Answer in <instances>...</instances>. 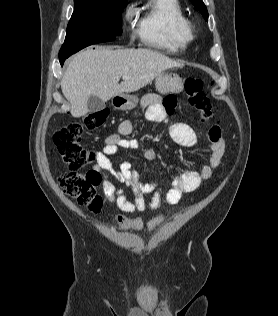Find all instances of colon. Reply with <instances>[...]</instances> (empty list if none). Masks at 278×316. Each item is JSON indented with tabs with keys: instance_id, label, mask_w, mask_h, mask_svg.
<instances>
[{
	"instance_id": "obj_1",
	"label": "colon",
	"mask_w": 278,
	"mask_h": 316,
	"mask_svg": "<svg viewBox=\"0 0 278 316\" xmlns=\"http://www.w3.org/2000/svg\"><path fill=\"white\" fill-rule=\"evenodd\" d=\"M203 88L204 83L200 79L188 78L185 82L189 104L199 111L202 120H207L211 116L212 106ZM106 118L105 111L88 114L81 122L69 123L53 134V142L69 168V171L59 178L61 190L94 213L100 212L103 205L97 192L101 177L93 170L80 172L95 160V152L84 147L81 140L85 130L100 127Z\"/></svg>"
}]
</instances>
